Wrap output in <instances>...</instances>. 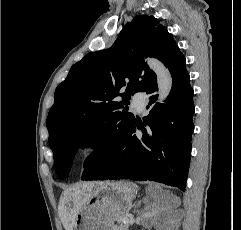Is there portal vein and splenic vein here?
<instances>
[{"instance_id":"portal-vein-and-splenic-vein-1","label":"portal vein and splenic vein","mask_w":241,"mask_h":230,"mask_svg":"<svg viewBox=\"0 0 241 230\" xmlns=\"http://www.w3.org/2000/svg\"><path fill=\"white\" fill-rule=\"evenodd\" d=\"M122 223L123 224H128L129 223V219L128 218H122Z\"/></svg>"}]
</instances>
